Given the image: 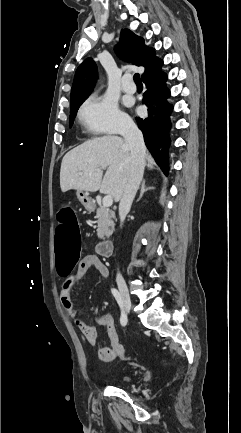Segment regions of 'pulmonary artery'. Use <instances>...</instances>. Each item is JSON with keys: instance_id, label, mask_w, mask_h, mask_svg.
<instances>
[{"instance_id": "obj_1", "label": "pulmonary artery", "mask_w": 241, "mask_h": 433, "mask_svg": "<svg viewBox=\"0 0 241 433\" xmlns=\"http://www.w3.org/2000/svg\"><path fill=\"white\" fill-rule=\"evenodd\" d=\"M122 89L127 93H134L136 91V86L130 81L128 75H126L122 80Z\"/></svg>"}]
</instances>
